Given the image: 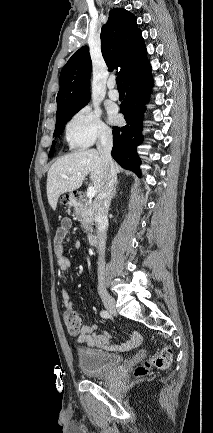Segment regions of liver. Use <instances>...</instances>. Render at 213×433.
Returning <instances> with one entry per match:
<instances>
[{"label":"liver","instance_id":"liver-1","mask_svg":"<svg viewBox=\"0 0 213 433\" xmlns=\"http://www.w3.org/2000/svg\"><path fill=\"white\" fill-rule=\"evenodd\" d=\"M116 174L120 167L114 163ZM104 161L95 149L78 150L59 158L49 169L47 174V198L52 209H56L61 194L70 193L78 189L86 175L90 179L96 192H100L104 180ZM67 175L68 178H63Z\"/></svg>","mask_w":213,"mask_h":433}]
</instances>
